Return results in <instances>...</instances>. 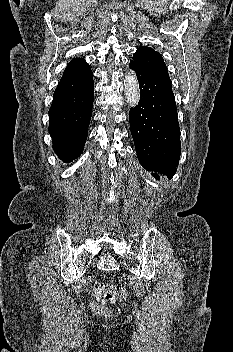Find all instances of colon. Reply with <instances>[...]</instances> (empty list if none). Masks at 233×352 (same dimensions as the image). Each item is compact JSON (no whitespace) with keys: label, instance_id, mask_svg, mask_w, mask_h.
I'll return each mask as SVG.
<instances>
[{"label":"colon","instance_id":"1","mask_svg":"<svg viewBox=\"0 0 233 352\" xmlns=\"http://www.w3.org/2000/svg\"><path fill=\"white\" fill-rule=\"evenodd\" d=\"M91 292L96 298L91 304L94 312H102L105 310L107 304H114L126 300L128 296V290L123 284H93L91 286Z\"/></svg>","mask_w":233,"mask_h":352}]
</instances>
